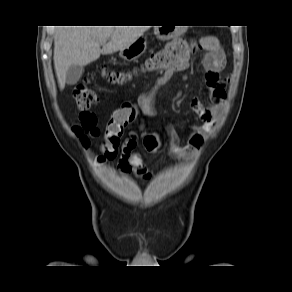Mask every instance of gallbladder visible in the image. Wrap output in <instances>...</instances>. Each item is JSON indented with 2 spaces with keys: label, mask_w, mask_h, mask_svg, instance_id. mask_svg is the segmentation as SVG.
Wrapping results in <instances>:
<instances>
[{
  "label": "gallbladder",
  "mask_w": 292,
  "mask_h": 292,
  "mask_svg": "<svg viewBox=\"0 0 292 292\" xmlns=\"http://www.w3.org/2000/svg\"><path fill=\"white\" fill-rule=\"evenodd\" d=\"M84 67L79 65H72L66 72V83L68 85L76 84L82 77Z\"/></svg>",
  "instance_id": "1"
}]
</instances>
